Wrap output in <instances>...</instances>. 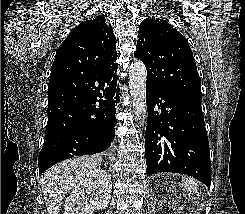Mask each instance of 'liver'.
<instances>
[{"label":"liver","instance_id":"6515ba94","mask_svg":"<svg viewBox=\"0 0 245 214\" xmlns=\"http://www.w3.org/2000/svg\"><path fill=\"white\" fill-rule=\"evenodd\" d=\"M102 158L98 155L83 156L63 161L41 176L42 191L49 214H58L65 195L87 174L100 167Z\"/></svg>","mask_w":245,"mask_h":214}]
</instances>
